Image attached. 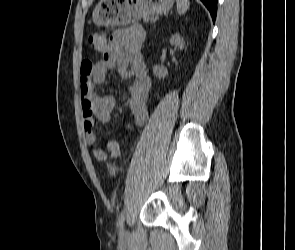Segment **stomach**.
I'll return each instance as SVG.
<instances>
[{
	"instance_id": "obj_1",
	"label": "stomach",
	"mask_w": 295,
	"mask_h": 250,
	"mask_svg": "<svg viewBox=\"0 0 295 250\" xmlns=\"http://www.w3.org/2000/svg\"><path fill=\"white\" fill-rule=\"evenodd\" d=\"M174 0H101L93 10L96 25L118 26L142 17L168 12Z\"/></svg>"
}]
</instances>
